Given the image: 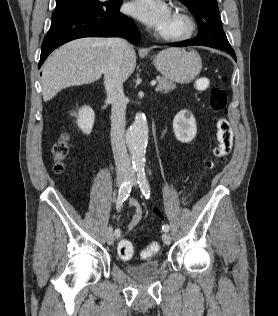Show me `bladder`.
Here are the masks:
<instances>
[{
  "mask_svg": "<svg viewBox=\"0 0 278 316\" xmlns=\"http://www.w3.org/2000/svg\"><path fill=\"white\" fill-rule=\"evenodd\" d=\"M159 267L160 262L153 259L140 264H127L125 270L135 278L146 279L157 274Z\"/></svg>",
  "mask_w": 278,
  "mask_h": 316,
  "instance_id": "bladder-1",
  "label": "bladder"
}]
</instances>
